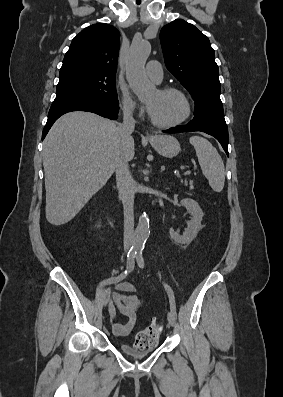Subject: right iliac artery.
I'll return each instance as SVG.
<instances>
[{
  "mask_svg": "<svg viewBox=\"0 0 283 397\" xmlns=\"http://www.w3.org/2000/svg\"><path fill=\"white\" fill-rule=\"evenodd\" d=\"M137 254L136 250H130L127 254V266H126V270L124 272H122L120 275H118L117 277H112L109 278L105 281V284H112V283H117L119 281H122L133 269H134V265H135V256Z\"/></svg>",
  "mask_w": 283,
  "mask_h": 397,
  "instance_id": "1",
  "label": "right iliac artery"
}]
</instances>
